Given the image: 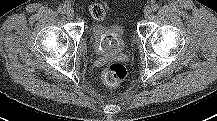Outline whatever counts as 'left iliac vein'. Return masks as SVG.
<instances>
[{"instance_id":"4c4485c4","label":"left iliac vein","mask_w":217,"mask_h":121,"mask_svg":"<svg viewBox=\"0 0 217 121\" xmlns=\"http://www.w3.org/2000/svg\"><path fill=\"white\" fill-rule=\"evenodd\" d=\"M151 13H152L151 8H146L144 10V18H146V19L149 18L151 16Z\"/></svg>"}]
</instances>
